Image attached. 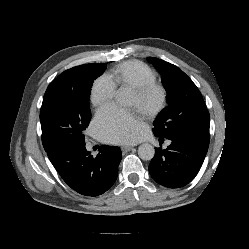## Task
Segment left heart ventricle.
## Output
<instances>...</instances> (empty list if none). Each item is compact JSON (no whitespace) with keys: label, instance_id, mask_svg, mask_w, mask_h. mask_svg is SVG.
<instances>
[{"label":"left heart ventricle","instance_id":"obj_1","mask_svg":"<svg viewBox=\"0 0 249 249\" xmlns=\"http://www.w3.org/2000/svg\"><path fill=\"white\" fill-rule=\"evenodd\" d=\"M159 100V94L157 91H151L143 100H139L138 97L132 93L130 107L135 108L139 113H144L153 108Z\"/></svg>","mask_w":249,"mask_h":249}]
</instances>
